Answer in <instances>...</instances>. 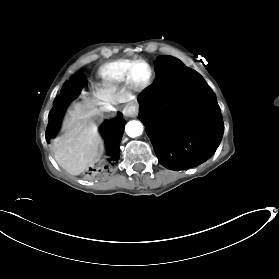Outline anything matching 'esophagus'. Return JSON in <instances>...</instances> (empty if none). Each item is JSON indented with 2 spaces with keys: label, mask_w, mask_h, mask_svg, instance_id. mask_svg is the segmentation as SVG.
Wrapping results in <instances>:
<instances>
[{
  "label": "esophagus",
  "mask_w": 279,
  "mask_h": 279,
  "mask_svg": "<svg viewBox=\"0 0 279 279\" xmlns=\"http://www.w3.org/2000/svg\"><path fill=\"white\" fill-rule=\"evenodd\" d=\"M139 106L137 103H129L124 107V115L126 117H134L138 114Z\"/></svg>",
  "instance_id": "1"
}]
</instances>
